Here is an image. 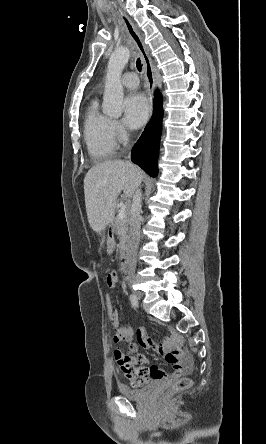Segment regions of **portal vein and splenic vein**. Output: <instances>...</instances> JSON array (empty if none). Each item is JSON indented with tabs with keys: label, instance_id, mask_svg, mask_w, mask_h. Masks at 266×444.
Masks as SVG:
<instances>
[{
	"label": "portal vein and splenic vein",
	"instance_id": "18ae733b",
	"mask_svg": "<svg viewBox=\"0 0 266 444\" xmlns=\"http://www.w3.org/2000/svg\"><path fill=\"white\" fill-rule=\"evenodd\" d=\"M125 216H126V205L123 204V205H121L120 210L118 212V217L123 218Z\"/></svg>",
	"mask_w": 266,
	"mask_h": 444
}]
</instances>
